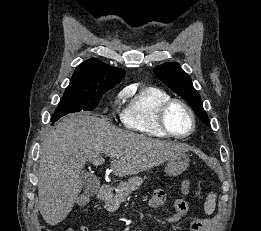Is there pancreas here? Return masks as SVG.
<instances>
[{"label":"pancreas","instance_id":"pancreas-1","mask_svg":"<svg viewBox=\"0 0 261 231\" xmlns=\"http://www.w3.org/2000/svg\"><path fill=\"white\" fill-rule=\"evenodd\" d=\"M143 180V178L135 176L128 179L126 182H121L116 189V194L106 198L105 206L107 207V210L109 212L116 211L119 208L121 202L125 201L129 194L140 187V185L143 183Z\"/></svg>","mask_w":261,"mask_h":231}]
</instances>
